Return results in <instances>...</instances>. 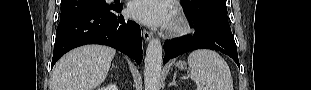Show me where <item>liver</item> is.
<instances>
[{
    "mask_svg": "<svg viewBox=\"0 0 311 90\" xmlns=\"http://www.w3.org/2000/svg\"><path fill=\"white\" fill-rule=\"evenodd\" d=\"M116 50L101 45H86L71 50L55 65L51 90H93L108 75Z\"/></svg>",
    "mask_w": 311,
    "mask_h": 90,
    "instance_id": "6515ba94",
    "label": "liver"
}]
</instances>
